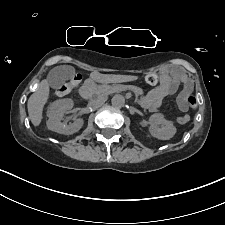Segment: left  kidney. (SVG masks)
Masks as SVG:
<instances>
[{"label": "left kidney", "mask_w": 225, "mask_h": 225, "mask_svg": "<svg viewBox=\"0 0 225 225\" xmlns=\"http://www.w3.org/2000/svg\"><path fill=\"white\" fill-rule=\"evenodd\" d=\"M149 123L151 135L160 140L171 139L177 131L173 122L166 120L161 113L153 114L149 119Z\"/></svg>", "instance_id": "obj_1"}]
</instances>
